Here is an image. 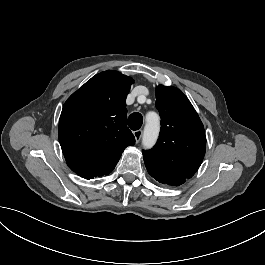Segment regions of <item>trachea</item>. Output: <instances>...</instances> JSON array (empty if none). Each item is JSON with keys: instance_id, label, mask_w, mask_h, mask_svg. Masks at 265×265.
<instances>
[{"instance_id": "3493384b", "label": "trachea", "mask_w": 265, "mask_h": 265, "mask_svg": "<svg viewBox=\"0 0 265 265\" xmlns=\"http://www.w3.org/2000/svg\"><path fill=\"white\" fill-rule=\"evenodd\" d=\"M143 124V117L140 113H133L128 118V126L132 130H139Z\"/></svg>"}]
</instances>
